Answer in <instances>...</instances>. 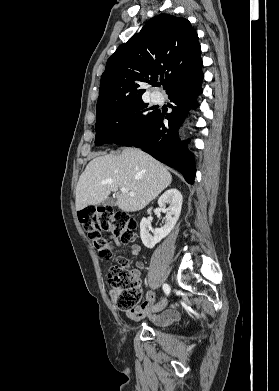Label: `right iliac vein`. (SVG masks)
<instances>
[{
    "label": "right iliac vein",
    "mask_w": 279,
    "mask_h": 391,
    "mask_svg": "<svg viewBox=\"0 0 279 391\" xmlns=\"http://www.w3.org/2000/svg\"><path fill=\"white\" fill-rule=\"evenodd\" d=\"M166 304H167V299L164 298L156 306H154L152 308V311L153 312H159V311H161V310H163L165 308Z\"/></svg>",
    "instance_id": "1"
}]
</instances>
